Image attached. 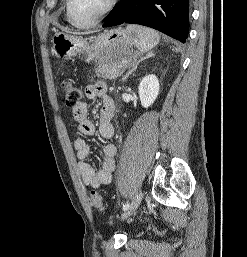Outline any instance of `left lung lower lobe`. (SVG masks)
I'll return each instance as SVG.
<instances>
[{"label":"left lung lower lobe","mask_w":247,"mask_h":257,"mask_svg":"<svg viewBox=\"0 0 247 257\" xmlns=\"http://www.w3.org/2000/svg\"><path fill=\"white\" fill-rule=\"evenodd\" d=\"M122 23L145 25L185 43L189 32L188 0H121L102 26Z\"/></svg>","instance_id":"obj_1"}]
</instances>
